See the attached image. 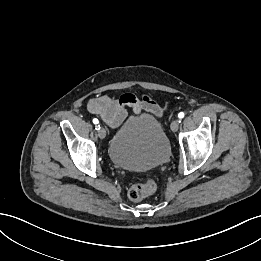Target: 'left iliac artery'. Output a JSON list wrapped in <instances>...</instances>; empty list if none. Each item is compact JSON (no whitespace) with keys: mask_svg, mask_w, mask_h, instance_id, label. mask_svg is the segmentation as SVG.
<instances>
[{"mask_svg":"<svg viewBox=\"0 0 261 261\" xmlns=\"http://www.w3.org/2000/svg\"><path fill=\"white\" fill-rule=\"evenodd\" d=\"M183 117H184V113H183V112H180V113L178 114V118L182 119Z\"/></svg>","mask_w":261,"mask_h":261,"instance_id":"44dca946","label":"left iliac artery"}]
</instances>
